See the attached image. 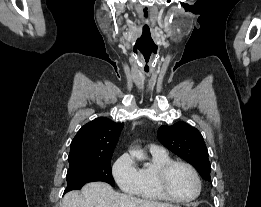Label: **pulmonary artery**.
<instances>
[{
	"label": "pulmonary artery",
	"instance_id": "obj_1",
	"mask_svg": "<svg viewBox=\"0 0 261 207\" xmlns=\"http://www.w3.org/2000/svg\"><path fill=\"white\" fill-rule=\"evenodd\" d=\"M150 150L153 152H165L163 148L157 145H151Z\"/></svg>",
	"mask_w": 261,
	"mask_h": 207
}]
</instances>
